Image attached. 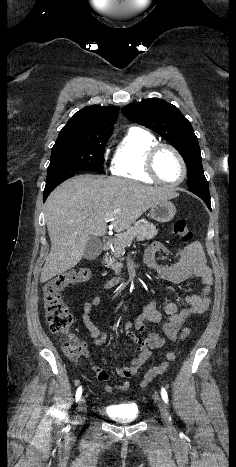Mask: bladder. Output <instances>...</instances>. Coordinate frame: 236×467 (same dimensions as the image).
Instances as JSON below:
<instances>
[{"instance_id":"obj_1","label":"bladder","mask_w":236,"mask_h":467,"mask_svg":"<svg viewBox=\"0 0 236 467\" xmlns=\"http://www.w3.org/2000/svg\"><path fill=\"white\" fill-rule=\"evenodd\" d=\"M107 414L118 421L130 422L139 417L140 411L135 404L112 405L108 408Z\"/></svg>"}]
</instances>
